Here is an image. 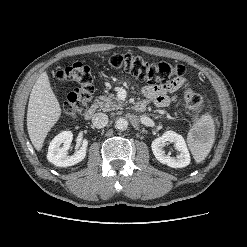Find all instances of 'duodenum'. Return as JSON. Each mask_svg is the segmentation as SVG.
<instances>
[{"mask_svg":"<svg viewBox=\"0 0 247 247\" xmlns=\"http://www.w3.org/2000/svg\"><path fill=\"white\" fill-rule=\"evenodd\" d=\"M133 109L137 112H143L146 109V103L143 101L137 102L133 105ZM96 113V106L92 105L85 112V119H91Z\"/></svg>","mask_w":247,"mask_h":247,"instance_id":"410a0bca","label":"duodenum"}]
</instances>
